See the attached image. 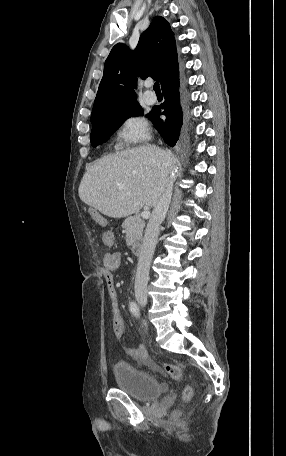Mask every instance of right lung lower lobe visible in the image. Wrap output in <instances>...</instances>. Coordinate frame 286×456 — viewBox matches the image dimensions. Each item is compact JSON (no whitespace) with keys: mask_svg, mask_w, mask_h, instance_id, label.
<instances>
[{"mask_svg":"<svg viewBox=\"0 0 286 456\" xmlns=\"http://www.w3.org/2000/svg\"><path fill=\"white\" fill-rule=\"evenodd\" d=\"M179 88V77L166 84L162 88L165 101L161 107L153 108L149 117L164 141L171 147L178 142L186 119L185 98ZM160 114L165 115L166 119L162 120Z\"/></svg>","mask_w":286,"mask_h":456,"instance_id":"98d812e1","label":"right lung lower lobe"}]
</instances>
